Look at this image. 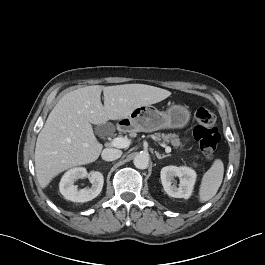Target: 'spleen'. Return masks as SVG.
Listing matches in <instances>:
<instances>
[{
	"label": "spleen",
	"mask_w": 265,
	"mask_h": 265,
	"mask_svg": "<svg viewBox=\"0 0 265 265\" xmlns=\"http://www.w3.org/2000/svg\"><path fill=\"white\" fill-rule=\"evenodd\" d=\"M224 175L222 160L216 159L210 169L203 175L199 188V201L201 203L212 199L221 186Z\"/></svg>",
	"instance_id": "3e777b00"
}]
</instances>
